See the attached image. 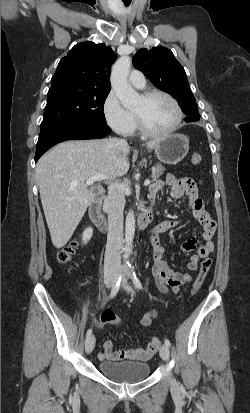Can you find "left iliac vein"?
<instances>
[{"mask_svg": "<svg viewBox=\"0 0 250 413\" xmlns=\"http://www.w3.org/2000/svg\"><path fill=\"white\" fill-rule=\"evenodd\" d=\"M122 286H123V289L128 291V292L133 291L132 288L130 287V285L127 283V281L125 279L122 280ZM160 356L165 361L169 360L170 353H169L168 347L165 344L162 345L161 348H160Z\"/></svg>", "mask_w": 250, "mask_h": 413, "instance_id": "1", "label": "left iliac vein"}]
</instances>
